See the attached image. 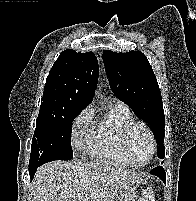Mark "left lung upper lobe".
<instances>
[{
	"mask_svg": "<svg viewBox=\"0 0 196 201\" xmlns=\"http://www.w3.org/2000/svg\"><path fill=\"white\" fill-rule=\"evenodd\" d=\"M103 62L113 93L150 126L157 141L158 157L164 158L162 97L146 56L140 51L116 53L106 50Z\"/></svg>",
	"mask_w": 196,
	"mask_h": 201,
	"instance_id": "1",
	"label": "left lung upper lobe"
}]
</instances>
